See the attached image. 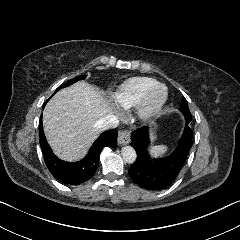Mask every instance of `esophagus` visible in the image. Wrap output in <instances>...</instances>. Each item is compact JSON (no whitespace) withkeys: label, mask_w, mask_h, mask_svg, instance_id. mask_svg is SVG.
I'll list each match as a JSON object with an SVG mask.
<instances>
[{"label":"esophagus","mask_w":240,"mask_h":240,"mask_svg":"<svg viewBox=\"0 0 240 240\" xmlns=\"http://www.w3.org/2000/svg\"><path fill=\"white\" fill-rule=\"evenodd\" d=\"M118 144L126 145L130 142V132L123 130L118 133Z\"/></svg>","instance_id":"1"}]
</instances>
